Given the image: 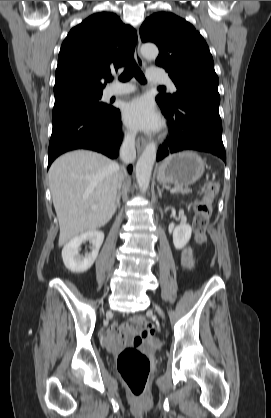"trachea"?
Here are the masks:
<instances>
[{"label": "trachea", "instance_id": "trachea-1", "mask_svg": "<svg viewBox=\"0 0 271 418\" xmlns=\"http://www.w3.org/2000/svg\"><path fill=\"white\" fill-rule=\"evenodd\" d=\"M135 77L140 83L145 84L146 79L138 65L134 60H131L127 63L126 68L124 72L119 77V80L122 82L129 81L132 77ZM108 80H112V78H109ZM161 89H165L164 87H160Z\"/></svg>", "mask_w": 271, "mask_h": 418}]
</instances>
